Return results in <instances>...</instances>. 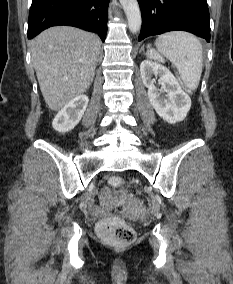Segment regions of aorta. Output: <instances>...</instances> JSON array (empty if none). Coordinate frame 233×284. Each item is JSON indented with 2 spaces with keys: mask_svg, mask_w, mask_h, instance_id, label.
<instances>
[{
  "mask_svg": "<svg viewBox=\"0 0 233 284\" xmlns=\"http://www.w3.org/2000/svg\"><path fill=\"white\" fill-rule=\"evenodd\" d=\"M126 14L129 30L137 33L141 28V13L137 0H119Z\"/></svg>",
  "mask_w": 233,
  "mask_h": 284,
  "instance_id": "1",
  "label": "aorta"
}]
</instances>
